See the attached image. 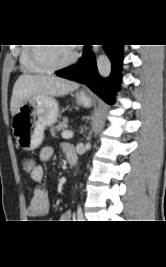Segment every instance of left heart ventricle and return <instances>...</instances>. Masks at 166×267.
Wrapping results in <instances>:
<instances>
[{
  "instance_id": "obj_1",
  "label": "left heart ventricle",
  "mask_w": 166,
  "mask_h": 267,
  "mask_svg": "<svg viewBox=\"0 0 166 267\" xmlns=\"http://www.w3.org/2000/svg\"><path fill=\"white\" fill-rule=\"evenodd\" d=\"M73 48L69 46H44L42 54L46 60L53 64L64 63L71 57Z\"/></svg>"
}]
</instances>
